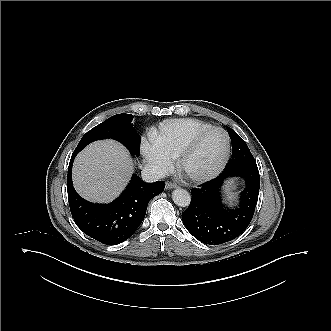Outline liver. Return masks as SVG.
<instances>
[{"label":"liver","instance_id":"liver-1","mask_svg":"<svg viewBox=\"0 0 331 331\" xmlns=\"http://www.w3.org/2000/svg\"><path fill=\"white\" fill-rule=\"evenodd\" d=\"M132 173L133 161L126 148L106 139L91 143L77 155L72 178L83 198L108 203L122 192Z\"/></svg>","mask_w":331,"mask_h":331}]
</instances>
